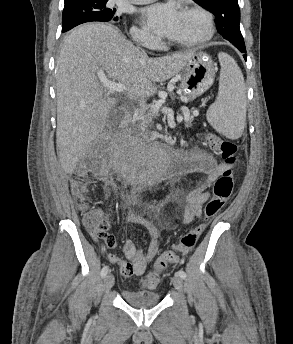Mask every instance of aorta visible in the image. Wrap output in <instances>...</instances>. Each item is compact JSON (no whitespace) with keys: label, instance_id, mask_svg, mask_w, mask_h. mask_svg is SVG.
Instances as JSON below:
<instances>
[{"label":"aorta","instance_id":"1","mask_svg":"<svg viewBox=\"0 0 293 344\" xmlns=\"http://www.w3.org/2000/svg\"><path fill=\"white\" fill-rule=\"evenodd\" d=\"M167 162V154L165 152H160L157 156L152 160L151 166L155 170H163Z\"/></svg>","mask_w":293,"mask_h":344}]
</instances>
